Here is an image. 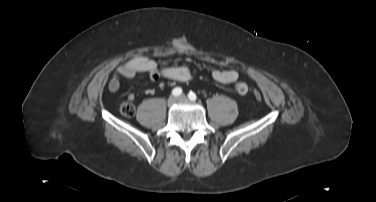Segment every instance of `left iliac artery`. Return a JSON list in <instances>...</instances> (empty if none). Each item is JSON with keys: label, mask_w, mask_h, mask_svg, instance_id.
Masks as SVG:
<instances>
[{"label": "left iliac artery", "mask_w": 376, "mask_h": 202, "mask_svg": "<svg viewBox=\"0 0 376 202\" xmlns=\"http://www.w3.org/2000/svg\"><path fill=\"white\" fill-rule=\"evenodd\" d=\"M188 98L191 100V101H195L197 99V96L194 92L190 91L189 94H188Z\"/></svg>", "instance_id": "1"}]
</instances>
